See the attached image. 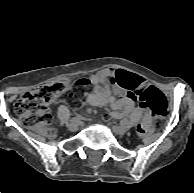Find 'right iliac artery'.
<instances>
[{
    "mask_svg": "<svg viewBox=\"0 0 194 193\" xmlns=\"http://www.w3.org/2000/svg\"><path fill=\"white\" fill-rule=\"evenodd\" d=\"M80 118H81V117H73V118L71 119V122H77V121L80 120Z\"/></svg>",
    "mask_w": 194,
    "mask_h": 193,
    "instance_id": "right-iliac-artery-1",
    "label": "right iliac artery"
}]
</instances>
